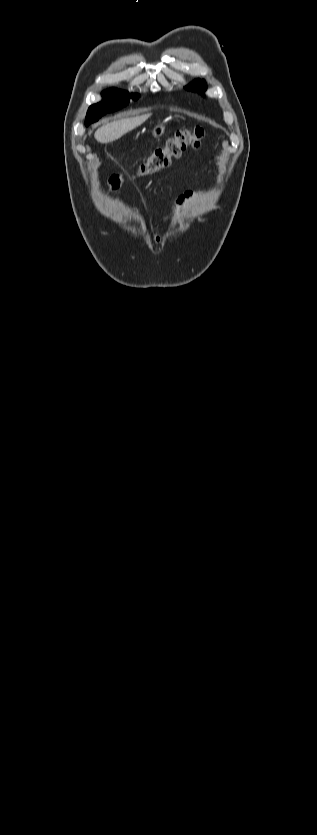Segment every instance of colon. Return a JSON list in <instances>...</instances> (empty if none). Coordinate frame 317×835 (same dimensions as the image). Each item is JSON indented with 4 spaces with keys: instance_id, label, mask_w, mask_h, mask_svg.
Instances as JSON below:
<instances>
[{
    "instance_id": "colon-1",
    "label": "colon",
    "mask_w": 317,
    "mask_h": 835,
    "mask_svg": "<svg viewBox=\"0 0 317 835\" xmlns=\"http://www.w3.org/2000/svg\"><path fill=\"white\" fill-rule=\"evenodd\" d=\"M205 136L201 127L192 130H179L171 137L165 145L156 147L151 155L138 167L135 176L144 177L160 171L167 167L173 158L181 155L187 147H199ZM124 182L121 174H114L109 178V187L112 190L119 189Z\"/></svg>"
}]
</instances>
